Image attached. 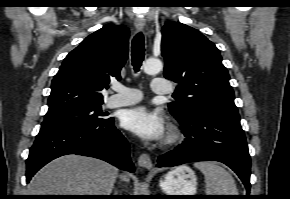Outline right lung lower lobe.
<instances>
[{
    "instance_id": "obj_1",
    "label": "right lung lower lobe",
    "mask_w": 290,
    "mask_h": 199,
    "mask_svg": "<svg viewBox=\"0 0 290 199\" xmlns=\"http://www.w3.org/2000/svg\"><path fill=\"white\" fill-rule=\"evenodd\" d=\"M77 154L104 160L122 170L134 172L129 144L114 126V119L103 123L41 128L27 159V182L51 160Z\"/></svg>"
}]
</instances>
